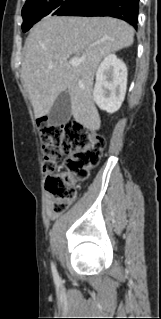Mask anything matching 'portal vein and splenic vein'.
<instances>
[{
  "label": "portal vein and splenic vein",
  "mask_w": 161,
  "mask_h": 319,
  "mask_svg": "<svg viewBox=\"0 0 161 319\" xmlns=\"http://www.w3.org/2000/svg\"><path fill=\"white\" fill-rule=\"evenodd\" d=\"M81 62H82V59L77 58V57H74V58H72V59L70 60V64H71V66H73V67L78 66Z\"/></svg>",
  "instance_id": "obj_1"
}]
</instances>
